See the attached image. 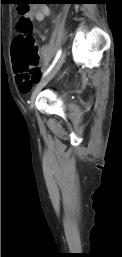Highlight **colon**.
Instances as JSON below:
<instances>
[{
  "instance_id": "5ec220e1",
  "label": "colon",
  "mask_w": 122,
  "mask_h": 257,
  "mask_svg": "<svg viewBox=\"0 0 122 257\" xmlns=\"http://www.w3.org/2000/svg\"><path fill=\"white\" fill-rule=\"evenodd\" d=\"M32 5H15L19 14H26L32 10ZM22 33L15 37L11 46V57L17 73L25 75L27 79L40 75L39 53L36 38L25 22L20 24Z\"/></svg>"
}]
</instances>
